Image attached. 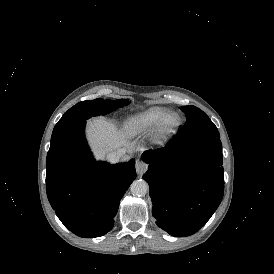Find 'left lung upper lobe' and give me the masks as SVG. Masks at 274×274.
I'll return each instance as SVG.
<instances>
[{
    "instance_id": "obj_1",
    "label": "left lung upper lobe",
    "mask_w": 274,
    "mask_h": 274,
    "mask_svg": "<svg viewBox=\"0 0 274 274\" xmlns=\"http://www.w3.org/2000/svg\"><path fill=\"white\" fill-rule=\"evenodd\" d=\"M181 110L186 113L187 122L177 135L184 137L220 136L215 124L202 110L195 106H182Z\"/></svg>"
}]
</instances>
